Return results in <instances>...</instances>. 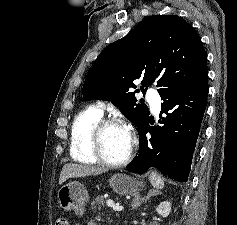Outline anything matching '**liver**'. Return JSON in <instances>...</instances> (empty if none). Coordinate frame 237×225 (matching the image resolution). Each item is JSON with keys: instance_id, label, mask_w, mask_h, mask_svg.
Listing matches in <instances>:
<instances>
[{"instance_id": "1", "label": "liver", "mask_w": 237, "mask_h": 225, "mask_svg": "<svg viewBox=\"0 0 237 225\" xmlns=\"http://www.w3.org/2000/svg\"><path fill=\"white\" fill-rule=\"evenodd\" d=\"M104 172H106V170L101 167L86 166L79 164H65L60 173L59 184L62 185L69 178H79L90 175H98Z\"/></svg>"}]
</instances>
